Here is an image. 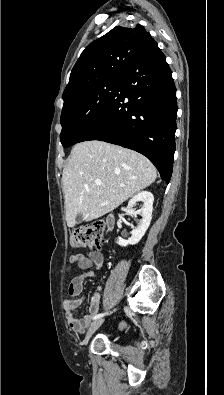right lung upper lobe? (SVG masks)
<instances>
[{
	"instance_id": "right-lung-upper-lobe-1",
	"label": "right lung upper lobe",
	"mask_w": 224,
	"mask_h": 395,
	"mask_svg": "<svg viewBox=\"0 0 224 395\" xmlns=\"http://www.w3.org/2000/svg\"><path fill=\"white\" fill-rule=\"evenodd\" d=\"M149 39L153 38L137 24L134 28L116 26L89 44L71 71L63 98L97 81L122 77Z\"/></svg>"
}]
</instances>
